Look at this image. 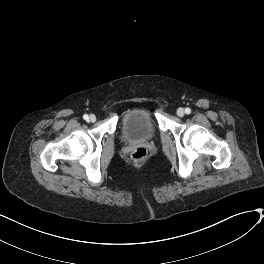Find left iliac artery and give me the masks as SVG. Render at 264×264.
<instances>
[{
	"label": "left iliac artery",
	"instance_id": "44dca946",
	"mask_svg": "<svg viewBox=\"0 0 264 264\" xmlns=\"http://www.w3.org/2000/svg\"><path fill=\"white\" fill-rule=\"evenodd\" d=\"M185 113H186V114H190V113H191V109H190V108H186V109H185Z\"/></svg>",
	"mask_w": 264,
	"mask_h": 264
}]
</instances>
